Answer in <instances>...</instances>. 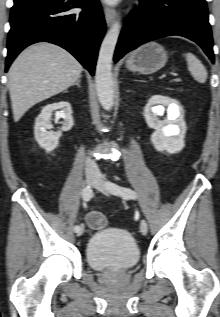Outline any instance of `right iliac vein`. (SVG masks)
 Masks as SVG:
<instances>
[{
	"instance_id": "right-iliac-vein-1",
	"label": "right iliac vein",
	"mask_w": 220,
	"mask_h": 317,
	"mask_svg": "<svg viewBox=\"0 0 220 317\" xmlns=\"http://www.w3.org/2000/svg\"><path fill=\"white\" fill-rule=\"evenodd\" d=\"M97 180V175L96 174H87L86 175V182L89 185H93ZM84 232V226L81 225L80 229L76 232L77 236H81Z\"/></svg>"
}]
</instances>
